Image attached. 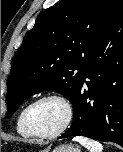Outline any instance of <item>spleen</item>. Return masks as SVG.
<instances>
[{"label":"spleen","mask_w":123,"mask_h":152,"mask_svg":"<svg viewBox=\"0 0 123 152\" xmlns=\"http://www.w3.org/2000/svg\"><path fill=\"white\" fill-rule=\"evenodd\" d=\"M73 141H77L82 146L86 147L90 152H102L103 146L98 141L89 139L83 136H76L73 138Z\"/></svg>","instance_id":"spleen-1"}]
</instances>
